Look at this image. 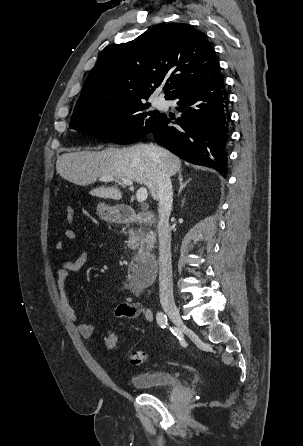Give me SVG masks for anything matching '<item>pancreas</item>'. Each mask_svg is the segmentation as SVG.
<instances>
[{
    "label": "pancreas",
    "mask_w": 303,
    "mask_h": 446,
    "mask_svg": "<svg viewBox=\"0 0 303 446\" xmlns=\"http://www.w3.org/2000/svg\"><path fill=\"white\" fill-rule=\"evenodd\" d=\"M155 234L152 231H144L141 228L131 229L129 231V238L127 246L132 251L138 249L140 252L150 251L154 248Z\"/></svg>",
    "instance_id": "cf45deb5"
}]
</instances>
